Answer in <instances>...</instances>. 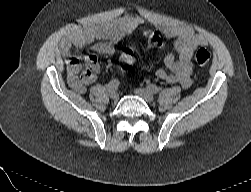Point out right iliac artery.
Wrapping results in <instances>:
<instances>
[{
	"instance_id": "1",
	"label": "right iliac artery",
	"mask_w": 251,
	"mask_h": 192,
	"mask_svg": "<svg viewBox=\"0 0 251 192\" xmlns=\"http://www.w3.org/2000/svg\"><path fill=\"white\" fill-rule=\"evenodd\" d=\"M119 86V81L117 79L111 80L107 85L106 88L107 90L110 91H115L118 89Z\"/></svg>"
}]
</instances>
